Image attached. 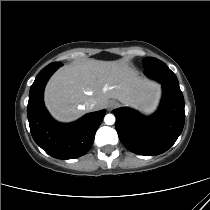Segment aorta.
I'll return each mask as SVG.
<instances>
[{
    "label": "aorta",
    "mask_w": 210,
    "mask_h": 210,
    "mask_svg": "<svg viewBox=\"0 0 210 210\" xmlns=\"http://www.w3.org/2000/svg\"><path fill=\"white\" fill-rule=\"evenodd\" d=\"M104 121L107 125H113L115 123V116L113 114H107L104 117Z\"/></svg>",
    "instance_id": "762f6f07"
}]
</instances>
